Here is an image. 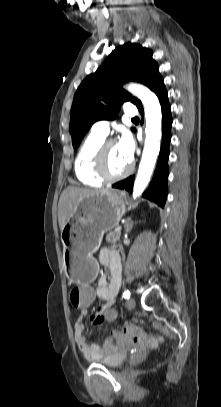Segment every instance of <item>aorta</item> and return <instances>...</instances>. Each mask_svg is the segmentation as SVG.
Here are the masks:
<instances>
[{"label":"aorta","instance_id":"1","mask_svg":"<svg viewBox=\"0 0 221 407\" xmlns=\"http://www.w3.org/2000/svg\"><path fill=\"white\" fill-rule=\"evenodd\" d=\"M127 89L143 103L146 119L145 145L133 187V197L137 198L148 185L159 155L162 114L157 96L147 87L131 84Z\"/></svg>","mask_w":221,"mask_h":407}]
</instances>
